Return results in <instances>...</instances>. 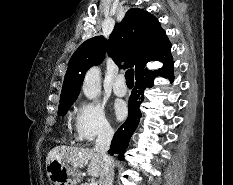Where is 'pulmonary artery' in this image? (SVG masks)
Here are the masks:
<instances>
[{
    "label": "pulmonary artery",
    "mask_w": 233,
    "mask_h": 185,
    "mask_svg": "<svg viewBox=\"0 0 233 185\" xmlns=\"http://www.w3.org/2000/svg\"><path fill=\"white\" fill-rule=\"evenodd\" d=\"M113 90H114V93L118 96H124L127 93L125 77L123 75L117 76Z\"/></svg>",
    "instance_id": "e3ab8cb5"
}]
</instances>
